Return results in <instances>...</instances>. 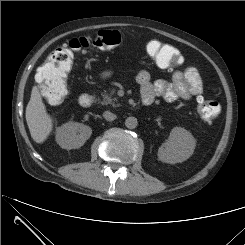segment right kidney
Wrapping results in <instances>:
<instances>
[{
	"label": "right kidney",
	"mask_w": 245,
	"mask_h": 245,
	"mask_svg": "<svg viewBox=\"0 0 245 245\" xmlns=\"http://www.w3.org/2000/svg\"><path fill=\"white\" fill-rule=\"evenodd\" d=\"M92 129L89 126L68 122L56 129V141L63 149H77L90 138Z\"/></svg>",
	"instance_id": "right-kidney-1"
}]
</instances>
